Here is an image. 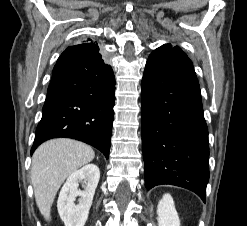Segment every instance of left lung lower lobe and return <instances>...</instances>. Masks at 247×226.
Masks as SVG:
<instances>
[{
	"label": "left lung lower lobe",
	"mask_w": 247,
	"mask_h": 226,
	"mask_svg": "<svg viewBox=\"0 0 247 226\" xmlns=\"http://www.w3.org/2000/svg\"><path fill=\"white\" fill-rule=\"evenodd\" d=\"M141 98L146 188L176 185L205 201L208 128L193 64L178 46L162 45L149 56Z\"/></svg>",
	"instance_id": "left-lung-lower-lobe-1"
}]
</instances>
